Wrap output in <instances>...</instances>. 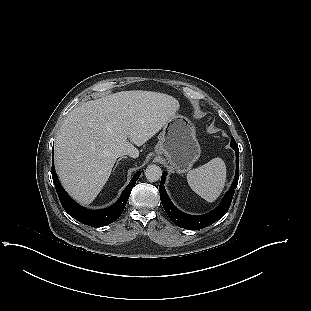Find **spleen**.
Masks as SVG:
<instances>
[{
	"mask_svg": "<svg viewBox=\"0 0 311 311\" xmlns=\"http://www.w3.org/2000/svg\"><path fill=\"white\" fill-rule=\"evenodd\" d=\"M190 188L208 202H214L224 189L226 165L221 158H214L206 164L187 173Z\"/></svg>",
	"mask_w": 311,
	"mask_h": 311,
	"instance_id": "1",
	"label": "spleen"
}]
</instances>
